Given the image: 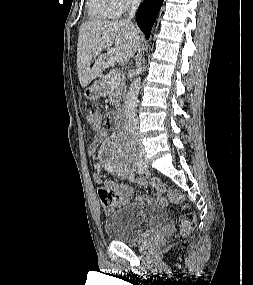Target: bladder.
Listing matches in <instances>:
<instances>
[{
	"instance_id": "bladder-1",
	"label": "bladder",
	"mask_w": 253,
	"mask_h": 285,
	"mask_svg": "<svg viewBox=\"0 0 253 285\" xmlns=\"http://www.w3.org/2000/svg\"><path fill=\"white\" fill-rule=\"evenodd\" d=\"M167 213L162 207L127 203L116 207L105 219L104 233L113 241L131 243L165 224Z\"/></svg>"
}]
</instances>
